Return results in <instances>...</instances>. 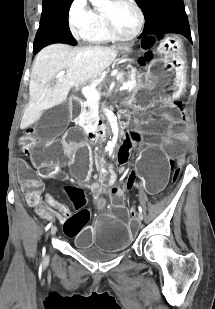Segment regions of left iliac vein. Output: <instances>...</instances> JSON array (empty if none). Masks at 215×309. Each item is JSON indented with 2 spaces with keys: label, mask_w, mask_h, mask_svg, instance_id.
<instances>
[{
  "label": "left iliac vein",
  "mask_w": 215,
  "mask_h": 309,
  "mask_svg": "<svg viewBox=\"0 0 215 309\" xmlns=\"http://www.w3.org/2000/svg\"><path fill=\"white\" fill-rule=\"evenodd\" d=\"M138 220H139V222H141L143 220V214L138 215Z\"/></svg>",
  "instance_id": "1"
}]
</instances>
